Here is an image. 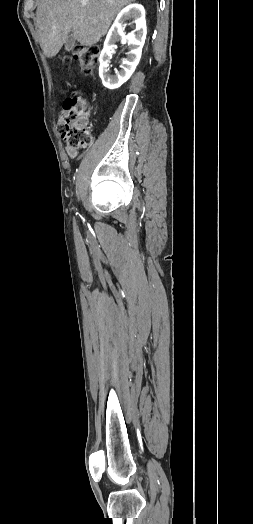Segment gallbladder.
Listing matches in <instances>:
<instances>
[{
	"mask_svg": "<svg viewBox=\"0 0 253 524\" xmlns=\"http://www.w3.org/2000/svg\"><path fill=\"white\" fill-rule=\"evenodd\" d=\"M74 44H75V38L71 34L68 36V38L65 41V50L70 51L74 47Z\"/></svg>",
	"mask_w": 253,
	"mask_h": 524,
	"instance_id": "1",
	"label": "gallbladder"
}]
</instances>
